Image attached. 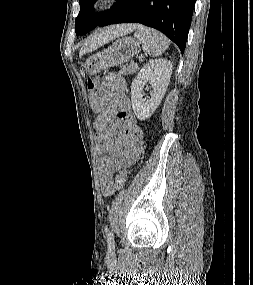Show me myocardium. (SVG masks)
Instances as JSON below:
<instances>
[{
    "instance_id": "f54148a6",
    "label": "myocardium",
    "mask_w": 253,
    "mask_h": 285,
    "mask_svg": "<svg viewBox=\"0 0 253 285\" xmlns=\"http://www.w3.org/2000/svg\"><path fill=\"white\" fill-rule=\"evenodd\" d=\"M120 0H95L94 9L98 12H104L114 9Z\"/></svg>"
}]
</instances>
